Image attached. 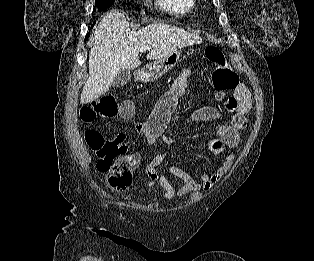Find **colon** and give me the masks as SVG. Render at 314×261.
<instances>
[{
	"mask_svg": "<svg viewBox=\"0 0 314 261\" xmlns=\"http://www.w3.org/2000/svg\"><path fill=\"white\" fill-rule=\"evenodd\" d=\"M207 60L212 63V82L216 90L225 94L239 86L237 74L230 68L224 53L216 46L205 50ZM133 109L129 103H120L115 96L107 93L80 109V119L90 125L97 119H111L116 116L129 117ZM84 138L88 147L98 156V169L106 176V183L113 189H125L132 182V169L136 166L133 155L127 153L122 138H106L99 130L87 128Z\"/></svg>",
	"mask_w": 314,
	"mask_h": 261,
	"instance_id": "5ec220e1",
	"label": "colon"
}]
</instances>
